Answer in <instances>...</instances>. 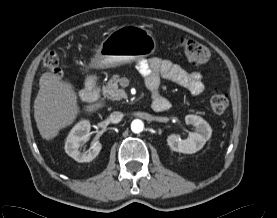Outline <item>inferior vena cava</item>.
<instances>
[{
    "label": "inferior vena cava",
    "mask_w": 277,
    "mask_h": 218,
    "mask_svg": "<svg viewBox=\"0 0 277 218\" xmlns=\"http://www.w3.org/2000/svg\"><path fill=\"white\" fill-rule=\"evenodd\" d=\"M122 118H123V113L122 112L114 111L110 114L108 120L111 123L117 124L122 120Z\"/></svg>",
    "instance_id": "602c4592"
}]
</instances>
